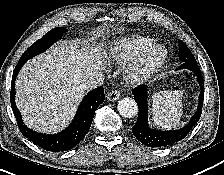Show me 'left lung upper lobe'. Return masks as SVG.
Wrapping results in <instances>:
<instances>
[{
  "label": "left lung upper lobe",
  "mask_w": 224,
  "mask_h": 175,
  "mask_svg": "<svg viewBox=\"0 0 224 175\" xmlns=\"http://www.w3.org/2000/svg\"><path fill=\"white\" fill-rule=\"evenodd\" d=\"M179 58L183 63H197L193 54L182 41H179Z\"/></svg>",
  "instance_id": "left-lung-upper-lobe-1"
}]
</instances>
